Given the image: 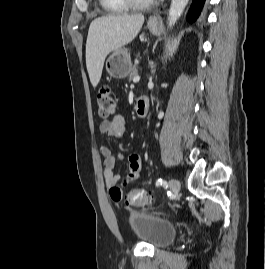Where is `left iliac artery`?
<instances>
[{
  "instance_id": "left-iliac-artery-1",
  "label": "left iliac artery",
  "mask_w": 265,
  "mask_h": 269,
  "mask_svg": "<svg viewBox=\"0 0 265 269\" xmlns=\"http://www.w3.org/2000/svg\"><path fill=\"white\" fill-rule=\"evenodd\" d=\"M167 185V182L163 179H158L156 182V186H165Z\"/></svg>"
}]
</instances>
